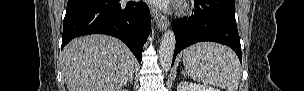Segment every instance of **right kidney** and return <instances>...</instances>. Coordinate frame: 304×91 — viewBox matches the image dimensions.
<instances>
[{
    "instance_id": "1",
    "label": "right kidney",
    "mask_w": 304,
    "mask_h": 91,
    "mask_svg": "<svg viewBox=\"0 0 304 91\" xmlns=\"http://www.w3.org/2000/svg\"><path fill=\"white\" fill-rule=\"evenodd\" d=\"M121 91H126V89H121Z\"/></svg>"
}]
</instances>
